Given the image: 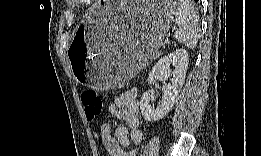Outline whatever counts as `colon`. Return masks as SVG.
I'll list each match as a JSON object with an SVG mask.
<instances>
[{
  "label": "colon",
  "mask_w": 261,
  "mask_h": 156,
  "mask_svg": "<svg viewBox=\"0 0 261 156\" xmlns=\"http://www.w3.org/2000/svg\"><path fill=\"white\" fill-rule=\"evenodd\" d=\"M81 101L84 106L86 118L94 121L101 113L103 100L99 93L94 90H84L81 93Z\"/></svg>",
  "instance_id": "colon-1"
}]
</instances>
